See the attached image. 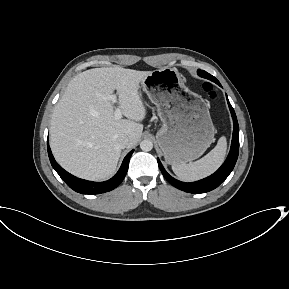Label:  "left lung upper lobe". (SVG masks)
Returning a JSON list of instances; mask_svg holds the SVG:
<instances>
[{"label":"left lung upper lobe","instance_id":"obj_1","mask_svg":"<svg viewBox=\"0 0 289 289\" xmlns=\"http://www.w3.org/2000/svg\"><path fill=\"white\" fill-rule=\"evenodd\" d=\"M198 75L203 77V78H206V79H209L213 82H215L216 84H220L219 81L212 75H210L209 73H207L206 71H203V70H198L197 71Z\"/></svg>","mask_w":289,"mask_h":289}]
</instances>
